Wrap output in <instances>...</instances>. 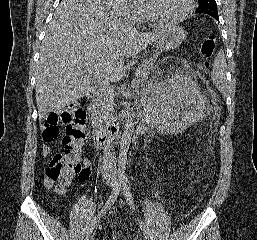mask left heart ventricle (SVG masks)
<instances>
[{"mask_svg": "<svg viewBox=\"0 0 257 240\" xmlns=\"http://www.w3.org/2000/svg\"><path fill=\"white\" fill-rule=\"evenodd\" d=\"M156 14L162 17L179 15L186 7V0H150Z\"/></svg>", "mask_w": 257, "mask_h": 240, "instance_id": "left-heart-ventricle-1", "label": "left heart ventricle"}]
</instances>
